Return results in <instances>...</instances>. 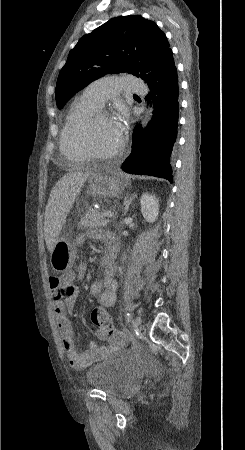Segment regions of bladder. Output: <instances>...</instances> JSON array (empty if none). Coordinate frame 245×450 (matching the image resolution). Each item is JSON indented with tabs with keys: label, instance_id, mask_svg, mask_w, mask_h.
Returning <instances> with one entry per match:
<instances>
[{
	"label": "bladder",
	"instance_id": "31cf9c89",
	"mask_svg": "<svg viewBox=\"0 0 245 450\" xmlns=\"http://www.w3.org/2000/svg\"><path fill=\"white\" fill-rule=\"evenodd\" d=\"M142 373L130 359H110L92 365L85 374V381L110 395H131L140 385Z\"/></svg>",
	"mask_w": 245,
	"mask_h": 450
}]
</instances>
